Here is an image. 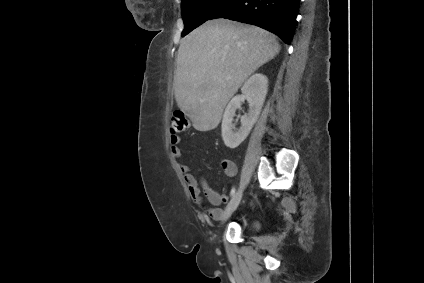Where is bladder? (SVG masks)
Listing matches in <instances>:
<instances>
[{"label": "bladder", "instance_id": "1", "mask_svg": "<svg viewBox=\"0 0 424 283\" xmlns=\"http://www.w3.org/2000/svg\"><path fill=\"white\" fill-rule=\"evenodd\" d=\"M252 227H255L256 226V223H252V225H251Z\"/></svg>", "mask_w": 424, "mask_h": 283}]
</instances>
